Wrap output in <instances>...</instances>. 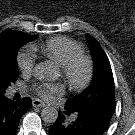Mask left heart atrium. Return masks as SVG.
<instances>
[{"label":"left heart atrium","mask_w":135,"mask_h":135,"mask_svg":"<svg viewBox=\"0 0 135 135\" xmlns=\"http://www.w3.org/2000/svg\"><path fill=\"white\" fill-rule=\"evenodd\" d=\"M34 88L44 100H51L55 96L62 95L64 92V86L60 83L43 82L35 85Z\"/></svg>","instance_id":"obj_1"}]
</instances>
